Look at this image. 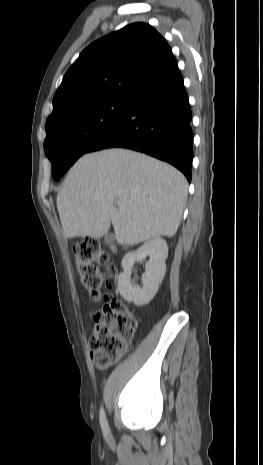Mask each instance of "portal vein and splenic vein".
<instances>
[{
    "mask_svg": "<svg viewBox=\"0 0 263 465\" xmlns=\"http://www.w3.org/2000/svg\"><path fill=\"white\" fill-rule=\"evenodd\" d=\"M117 206H118L119 208H122V207H123V204H122L121 202H118V203H117Z\"/></svg>",
    "mask_w": 263,
    "mask_h": 465,
    "instance_id": "obj_1",
    "label": "portal vein and splenic vein"
}]
</instances>
